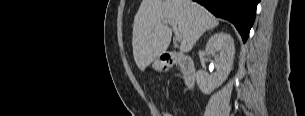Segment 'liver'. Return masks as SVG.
Returning a JSON list of instances; mask_svg holds the SVG:
<instances>
[{
    "instance_id": "liver-1",
    "label": "liver",
    "mask_w": 305,
    "mask_h": 116,
    "mask_svg": "<svg viewBox=\"0 0 305 116\" xmlns=\"http://www.w3.org/2000/svg\"><path fill=\"white\" fill-rule=\"evenodd\" d=\"M174 21L182 36L181 52H189L199 37L218 26V19L202 5L192 0H143L133 24V56L144 71L166 52L172 30L164 21Z\"/></svg>"
}]
</instances>
